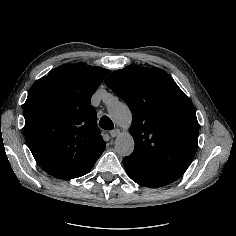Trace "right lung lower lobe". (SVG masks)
<instances>
[{
    "mask_svg": "<svg viewBox=\"0 0 236 236\" xmlns=\"http://www.w3.org/2000/svg\"><path fill=\"white\" fill-rule=\"evenodd\" d=\"M92 167H93V166H92ZM92 167H90L84 174H86L87 172H89ZM84 174H83V175H84ZM83 175H82V176H83Z\"/></svg>",
    "mask_w": 236,
    "mask_h": 236,
    "instance_id": "98d812e1",
    "label": "right lung lower lobe"
}]
</instances>
